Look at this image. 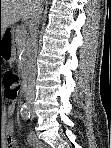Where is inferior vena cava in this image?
<instances>
[{
  "mask_svg": "<svg viewBox=\"0 0 111 148\" xmlns=\"http://www.w3.org/2000/svg\"><path fill=\"white\" fill-rule=\"evenodd\" d=\"M41 2H43V0H39L37 8L30 17L31 68L28 77V86L26 90V99L28 101H32L35 98V80L37 74L36 57L38 51L37 35L42 15Z\"/></svg>",
  "mask_w": 111,
  "mask_h": 148,
  "instance_id": "inferior-vena-cava-1",
  "label": "inferior vena cava"
}]
</instances>
